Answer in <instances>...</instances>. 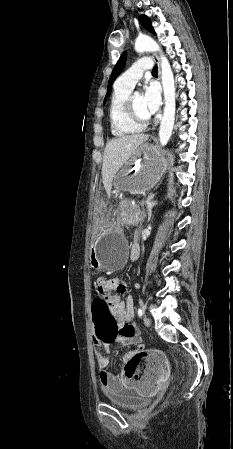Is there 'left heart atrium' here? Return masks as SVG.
Listing matches in <instances>:
<instances>
[{"instance_id": "39dd6f15", "label": "left heart atrium", "mask_w": 233, "mask_h": 449, "mask_svg": "<svg viewBox=\"0 0 233 449\" xmlns=\"http://www.w3.org/2000/svg\"><path fill=\"white\" fill-rule=\"evenodd\" d=\"M142 97L148 115L155 114L161 105V91L159 86L156 83H150L145 87Z\"/></svg>"}]
</instances>
